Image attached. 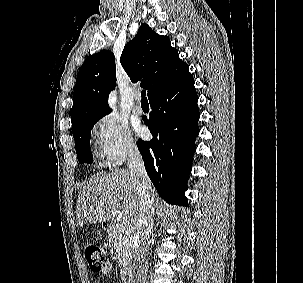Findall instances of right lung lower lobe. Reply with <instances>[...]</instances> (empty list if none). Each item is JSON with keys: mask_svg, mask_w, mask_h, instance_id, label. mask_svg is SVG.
<instances>
[{"mask_svg": "<svg viewBox=\"0 0 303 283\" xmlns=\"http://www.w3.org/2000/svg\"><path fill=\"white\" fill-rule=\"evenodd\" d=\"M190 73L151 99L145 120L153 138L137 141L148 176L160 197L170 204L188 205L185 191L196 150L200 113Z\"/></svg>", "mask_w": 303, "mask_h": 283, "instance_id": "98d812e1", "label": "right lung lower lobe"}]
</instances>
